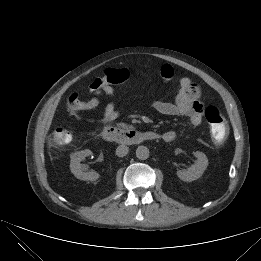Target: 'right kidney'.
<instances>
[{
	"label": "right kidney",
	"mask_w": 261,
	"mask_h": 261,
	"mask_svg": "<svg viewBox=\"0 0 261 261\" xmlns=\"http://www.w3.org/2000/svg\"><path fill=\"white\" fill-rule=\"evenodd\" d=\"M91 154L92 152L89 149H85L71 155L70 170L76 178L86 181H96L100 177V175L96 172L83 171V165L80 162L82 159L90 156Z\"/></svg>",
	"instance_id": "obj_1"
}]
</instances>
